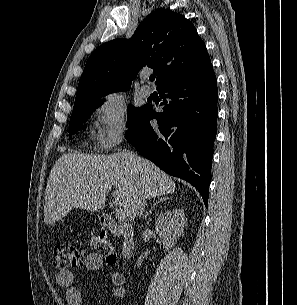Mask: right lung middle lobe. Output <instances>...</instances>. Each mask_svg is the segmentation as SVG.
<instances>
[{"mask_svg":"<svg viewBox=\"0 0 297 305\" xmlns=\"http://www.w3.org/2000/svg\"><path fill=\"white\" fill-rule=\"evenodd\" d=\"M102 96L99 97H91L87 99H83L74 103V108L72 115L70 117V124H69V133H75L81 129L85 130L83 123L90 117L92 111L95 108H98L102 102L104 101L101 99ZM147 105L136 108L134 106L128 107V120L127 125L128 127L134 125L143 115L144 111L146 110Z\"/></svg>","mask_w":297,"mask_h":305,"instance_id":"obj_1","label":"right lung middle lobe"}]
</instances>
